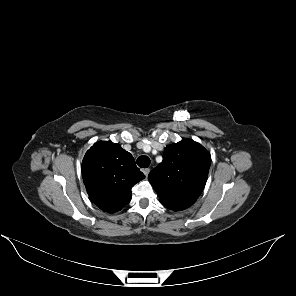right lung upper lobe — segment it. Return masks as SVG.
Listing matches in <instances>:
<instances>
[{"label": "right lung upper lobe", "instance_id": "1", "mask_svg": "<svg viewBox=\"0 0 296 296\" xmlns=\"http://www.w3.org/2000/svg\"><path fill=\"white\" fill-rule=\"evenodd\" d=\"M81 171L90 200L108 213L127 205L131 188L145 178L132 155L110 140L99 141L86 152Z\"/></svg>", "mask_w": 296, "mask_h": 296}]
</instances>
